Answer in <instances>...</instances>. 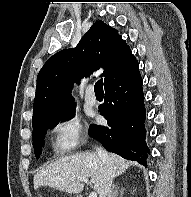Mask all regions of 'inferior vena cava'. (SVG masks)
Segmentation results:
<instances>
[{"label": "inferior vena cava", "instance_id": "inferior-vena-cava-1", "mask_svg": "<svg viewBox=\"0 0 191 197\" xmlns=\"http://www.w3.org/2000/svg\"><path fill=\"white\" fill-rule=\"evenodd\" d=\"M96 153L99 156L100 160L104 163L107 169L109 166V154L107 153V151L101 147H96ZM112 180L113 179H112L111 173L107 169L99 197L109 196L110 191H111Z\"/></svg>", "mask_w": 191, "mask_h": 197}]
</instances>
